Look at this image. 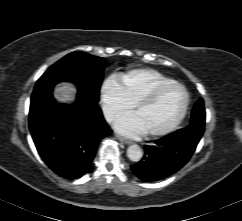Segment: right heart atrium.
<instances>
[{"instance_id":"right-heart-atrium-1","label":"right heart atrium","mask_w":242,"mask_h":221,"mask_svg":"<svg viewBox=\"0 0 242 221\" xmlns=\"http://www.w3.org/2000/svg\"><path fill=\"white\" fill-rule=\"evenodd\" d=\"M103 115L108 122L128 112L133 104L115 78L106 79L100 87Z\"/></svg>"}]
</instances>
